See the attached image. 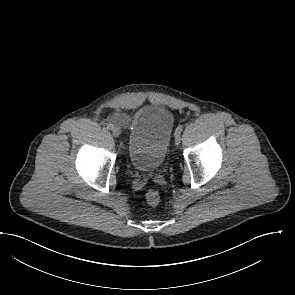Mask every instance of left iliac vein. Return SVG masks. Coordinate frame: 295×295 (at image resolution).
Masks as SVG:
<instances>
[{"label": "left iliac vein", "instance_id": "4c4485c4", "mask_svg": "<svg viewBox=\"0 0 295 295\" xmlns=\"http://www.w3.org/2000/svg\"><path fill=\"white\" fill-rule=\"evenodd\" d=\"M179 143H180V134L179 133H176L175 134V144L176 145H179Z\"/></svg>", "mask_w": 295, "mask_h": 295}]
</instances>
